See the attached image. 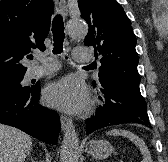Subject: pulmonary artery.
<instances>
[{"label": "pulmonary artery", "instance_id": "1", "mask_svg": "<svg viewBox=\"0 0 168 162\" xmlns=\"http://www.w3.org/2000/svg\"><path fill=\"white\" fill-rule=\"evenodd\" d=\"M74 59L78 62H89L91 56L85 48L77 47L73 50ZM57 69V64L52 61H46L42 66L30 67L26 73L28 78L40 77L47 75Z\"/></svg>", "mask_w": 168, "mask_h": 162}]
</instances>
